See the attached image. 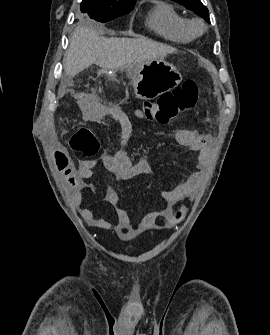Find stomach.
I'll use <instances>...</instances> for the list:
<instances>
[{
  "mask_svg": "<svg viewBox=\"0 0 270 335\" xmlns=\"http://www.w3.org/2000/svg\"><path fill=\"white\" fill-rule=\"evenodd\" d=\"M129 71L138 100H154L182 82L180 72L164 60H152L145 66L130 67Z\"/></svg>",
  "mask_w": 270,
  "mask_h": 335,
  "instance_id": "1",
  "label": "stomach"
}]
</instances>
